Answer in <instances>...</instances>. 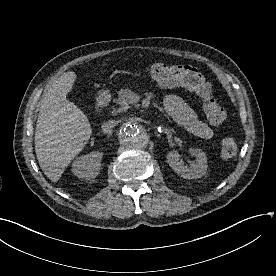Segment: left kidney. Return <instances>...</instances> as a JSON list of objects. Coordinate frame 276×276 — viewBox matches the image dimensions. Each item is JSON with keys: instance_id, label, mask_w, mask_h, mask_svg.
I'll return each mask as SVG.
<instances>
[{"instance_id": "5707ae66", "label": "left kidney", "mask_w": 276, "mask_h": 276, "mask_svg": "<svg viewBox=\"0 0 276 276\" xmlns=\"http://www.w3.org/2000/svg\"><path fill=\"white\" fill-rule=\"evenodd\" d=\"M192 155H194L197 160L190 164V167L184 165L182 159H180V154L176 150H172L167 154V162L169 166L181 177L185 179H197L201 178L206 174L208 165L206 154L198 148L190 149Z\"/></svg>"}]
</instances>
